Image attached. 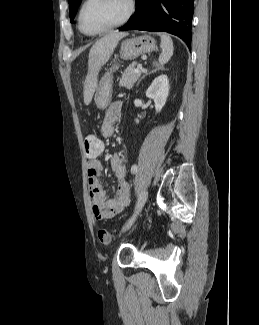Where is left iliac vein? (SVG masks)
Instances as JSON below:
<instances>
[{
    "instance_id": "obj_1",
    "label": "left iliac vein",
    "mask_w": 259,
    "mask_h": 325,
    "mask_svg": "<svg viewBox=\"0 0 259 325\" xmlns=\"http://www.w3.org/2000/svg\"><path fill=\"white\" fill-rule=\"evenodd\" d=\"M147 198H148V192L146 190H143L141 192V194L139 195V197H138V200H137L135 210H134V213H133L132 217L128 220V222L122 228L123 232L128 230L133 225V223L135 222L137 216L141 212L144 204L146 203Z\"/></svg>"
}]
</instances>
